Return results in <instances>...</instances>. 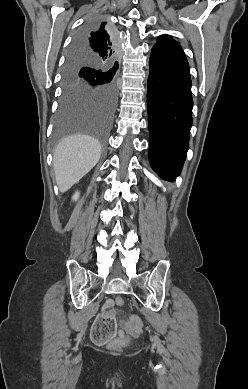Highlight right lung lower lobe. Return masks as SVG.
<instances>
[{
    "label": "right lung lower lobe",
    "instance_id": "1",
    "mask_svg": "<svg viewBox=\"0 0 248 389\" xmlns=\"http://www.w3.org/2000/svg\"><path fill=\"white\" fill-rule=\"evenodd\" d=\"M107 29H108V32L110 34L111 41H112L113 45L116 46L118 44L116 34L109 28V26H107ZM81 39L82 38H79L78 41ZM80 45H81L80 43H73L72 48L81 50L80 48H78Z\"/></svg>",
    "mask_w": 248,
    "mask_h": 389
}]
</instances>
